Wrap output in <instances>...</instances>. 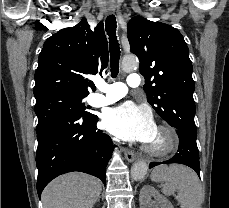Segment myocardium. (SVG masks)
Instances as JSON below:
<instances>
[{
    "label": "myocardium",
    "instance_id": "obj_1",
    "mask_svg": "<svg viewBox=\"0 0 229 208\" xmlns=\"http://www.w3.org/2000/svg\"><path fill=\"white\" fill-rule=\"evenodd\" d=\"M156 130L168 133V138H164L166 148L163 150H156L148 145H145V152L153 158H164L176 152L180 145V137L176 129L168 124H162L157 126Z\"/></svg>",
    "mask_w": 229,
    "mask_h": 208
}]
</instances>
